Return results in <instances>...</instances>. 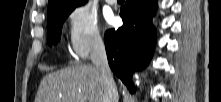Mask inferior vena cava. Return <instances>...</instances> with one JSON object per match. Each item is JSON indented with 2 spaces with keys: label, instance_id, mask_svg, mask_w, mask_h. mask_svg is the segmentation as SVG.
Wrapping results in <instances>:
<instances>
[{
  "label": "inferior vena cava",
  "instance_id": "602c4592",
  "mask_svg": "<svg viewBox=\"0 0 221 102\" xmlns=\"http://www.w3.org/2000/svg\"><path fill=\"white\" fill-rule=\"evenodd\" d=\"M91 61L101 72L104 91V102H118V91L114 82L112 71L109 67L105 45L100 36H97L92 43Z\"/></svg>",
  "mask_w": 221,
  "mask_h": 102
}]
</instances>
